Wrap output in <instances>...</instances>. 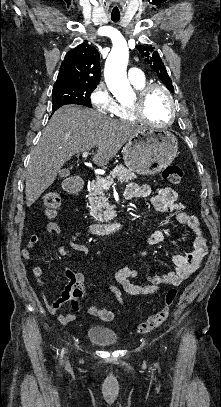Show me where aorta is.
<instances>
[{"label": "aorta", "instance_id": "762f6f07", "mask_svg": "<svg viewBox=\"0 0 221 407\" xmlns=\"http://www.w3.org/2000/svg\"><path fill=\"white\" fill-rule=\"evenodd\" d=\"M129 52L125 43L115 45L105 63V82L109 90L120 101L134 96L126 75Z\"/></svg>", "mask_w": 221, "mask_h": 407}]
</instances>
